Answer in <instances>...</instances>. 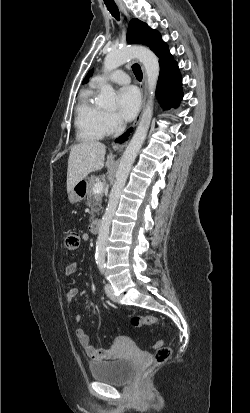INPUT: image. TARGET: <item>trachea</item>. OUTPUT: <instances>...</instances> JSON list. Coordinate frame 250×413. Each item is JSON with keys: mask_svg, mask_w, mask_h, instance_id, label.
Listing matches in <instances>:
<instances>
[{"mask_svg": "<svg viewBox=\"0 0 250 413\" xmlns=\"http://www.w3.org/2000/svg\"><path fill=\"white\" fill-rule=\"evenodd\" d=\"M108 11L112 14L113 17H115L117 20H119L120 15H119V10L118 7L116 6L115 3H105ZM132 70L137 78V80L141 81L142 80V70L141 67L138 64H133L132 65Z\"/></svg>", "mask_w": 250, "mask_h": 413, "instance_id": "obj_1", "label": "trachea"}]
</instances>
